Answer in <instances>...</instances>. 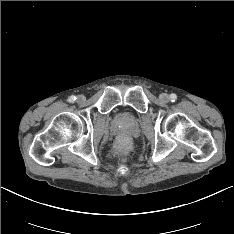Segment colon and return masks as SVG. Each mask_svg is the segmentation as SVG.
<instances>
[{
  "instance_id": "1",
  "label": "colon",
  "mask_w": 234,
  "mask_h": 234,
  "mask_svg": "<svg viewBox=\"0 0 234 234\" xmlns=\"http://www.w3.org/2000/svg\"><path fill=\"white\" fill-rule=\"evenodd\" d=\"M126 143H127V141L125 139H123L120 144L122 147H124L126 145Z\"/></svg>"
}]
</instances>
